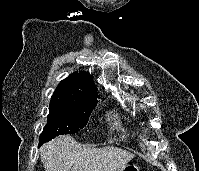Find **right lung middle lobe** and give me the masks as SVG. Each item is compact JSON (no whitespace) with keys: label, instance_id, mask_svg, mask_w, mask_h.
I'll return each instance as SVG.
<instances>
[{"label":"right lung middle lobe","instance_id":"obj_1","mask_svg":"<svg viewBox=\"0 0 199 171\" xmlns=\"http://www.w3.org/2000/svg\"><path fill=\"white\" fill-rule=\"evenodd\" d=\"M96 104L97 100L72 102L51 98L48 121L39 141L43 144L58 135L78 132L88 123Z\"/></svg>","mask_w":199,"mask_h":171}]
</instances>
